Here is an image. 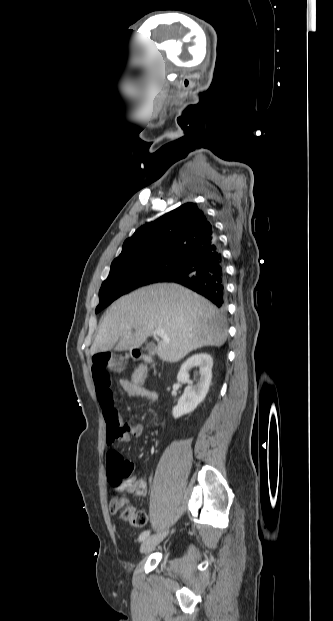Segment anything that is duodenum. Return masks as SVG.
I'll use <instances>...</instances> for the list:
<instances>
[{"instance_id":"duodenum-1","label":"duodenum","mask_w":333,"mask_h":621,"mask_svg":"<svg viewBox=\"0 0 333 621\" xmlns=\"http://www.w3.org/2000/svg\"><path fill=\"white\" fill-rule=\"evenodd\" d=\"M134 355L138 357L140 354L138 352H135Z\"/></svg>"}]
</instances>
